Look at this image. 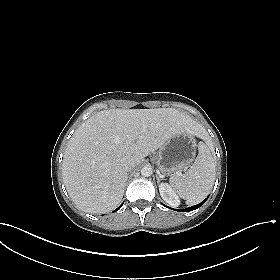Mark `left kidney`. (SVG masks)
I'll list each match as a JSON object with an SVG mask.
<instances>
[{"label": "left kidney", "instance_id": "1", "mask_svg": "<svg viewBox=\"0 0 280 280\" xmlns=\"http://www.w3.org/2000/svg\"><path fill=\"white\" fill-rule=\"evenodd\" d=\"M159 192L162 199L169 205L176 207L180 204L178 196L169 184L161 183L159 185Z\"/></svg>", "mask_w": 280, "mask_h": 280}]
</instances>
